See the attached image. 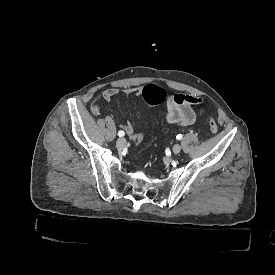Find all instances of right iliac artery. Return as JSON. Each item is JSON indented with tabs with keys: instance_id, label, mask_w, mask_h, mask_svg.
I'll use <instances>...</instances> for the list:
<instances>
[{
	"instance_id": "82829eb1",
	"label": "right iliac artery",
	"mask_w": 275,
	"mask_h": 275,
	"mask_svg": "<svg viewBox=\"0 0 275 275\" xmlns=\"http://www.w3.org/2000/svg\"><path fill=\"white\" fill-rule=\"evenodd\" d=\"M124 135H125L124 131H119V132H118V136H119V137H123Z\"/></svg>"
}]
</instances>
